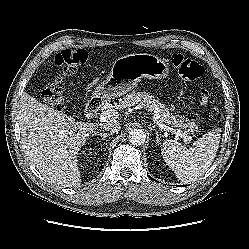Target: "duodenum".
I'll return each mask as SVG.
<instances>
[{
    "instance_id": "obj_1",
    "label": "duodenum",
    "mask_w": 249,
    "mask_h": 249,
    "mask_svg": "<svg viewBox=\"0 0 249 249\" xmlns=\"http://www.w3.org/2000/svg\"><path fill=\"white\" fill-rule=\"evenodd\" d=\"M103 105V100L102 98L96 96L93 97L89 100V102L87 103L86 109H85V113L88 117H93L95 116L100 108Z\"/></svg>"
}]
</instances>
